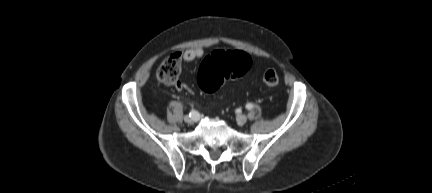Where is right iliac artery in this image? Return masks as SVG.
<instances>
[{
	"label": "right iliac artery",
	"mask_w": 432,
	"mask_h": 193,
	"mask_svg": "<svg viewBox=\"0 0 432 193\" xmlns=\"http://www.w3.org/2000/svg\"><path fill=\"white\" fill-rule=\"evenodd\" d=\"M198 113L195 111V110H192L190 113H189V116L190 117H194L195 115H197Z\"/></svg>",
	"instance_id": "1"
}]
</instances>
